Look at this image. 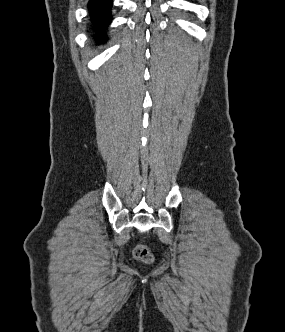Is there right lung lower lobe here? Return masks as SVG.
Returning a JSON list of instances; mask_svg holds the SVG:
<instances>
[{
  "instance_id": "98d812e1",
  "label": "right lung lower lobe",
  "mask_w": 285,
  "mask_h": 332,
  "mask_svg": "<svg viewBox=\"0 0 285 332\" xmlns=\"http://www.w3.org/2000/svg\"><path fill=\"white\" fill-rule=\"evenodd\" d=\"M111 6L112 0H90L88 4L89 12L94 24V29L98 33L97 39L102 38V29L111 21Z\"/></svg>"
}]
</instances>
